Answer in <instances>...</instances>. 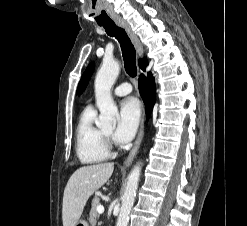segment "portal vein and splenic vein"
I'll return each instance as SVG.
<instances>
[{"label": "portal vein and splenic vein", "mask_w": 247, "mask_h": 226, "mask_svg": "<svg viewBox=\"0 0 247 226\" xmlns=\"http://www.w3.org/2000/svg\"><path fill=\"white\" fill-rule=\"evenodd\" d=\"M97 212L100 213V214H102V213L104 212V207H103V205H99V206L97 207Z\"/></svg>", "instance_id": "18ae733b"}]
</instances>
